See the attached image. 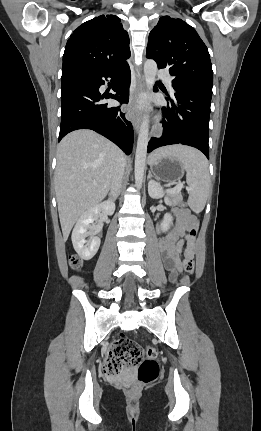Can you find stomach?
<instances>
[{"label":"stomach","instance_id":"stomach-1","mask_svg":"<svg viewBox=\"0 0 261 431\" xmlns=\"http://www.w3.org/2000/svg\"><path fill=\"white\" fill-rule=\"evenodd\" d=\"M154 176L164 182L179 181L184 175V169L177 159L162 157L150 164Z\"/></svg>","mask_w":261,"mask_h":431}]
</instances>
